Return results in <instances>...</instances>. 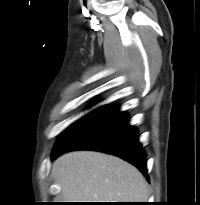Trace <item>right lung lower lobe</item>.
Instances as JSON below:
<instances>
[{
  "label": "right lung lower lobe",
  "mask_w": 200,
  "mask_h": 205,
  "mask_svg": "<svg viewBox=\"0 0 200 205\" xmlns=\"http://www.w3.org/2000/svg\"><path fill=\"white\" fill-rule=\"evenodd\" d=\"M118 109L113 106L66 145L53 151L52 160L71 150L102 151L125 159L148 177L146 154L137 139V130L128 125L127 115Z\"/></svg>",
  "instance_id": "obj_1"
}]
</instances>
